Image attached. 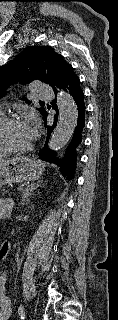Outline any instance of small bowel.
Wrapping results in <instances>:
<instances>
[{"instance_id":"1","label":"small bowel","mask_w":118,"mask_h":320,"mask_svg":"<svg viewBox=\"0 0 118 320\" xmlns=\"http://www.w3.org/2000/svg\"><path fill=\"white\" fill-rule=\"evenodd\" d=\"M12 207V200L10 198H0V218L7 216ZM8 244H3L0 247V253L8 251ZM8 281V274H0V320H8L11 315V302L6 293V284Z\"/></svg>"}]
</instances>
